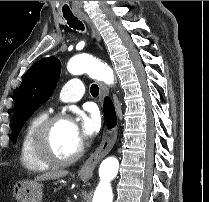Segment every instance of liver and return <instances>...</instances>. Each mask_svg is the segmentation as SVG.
Returning a JSON list of instances; mask_svg holds the SVG:
<instances>
[{"mask_svg":"<svg viewBox=\"0 0 209 202\" xmlns=\"http://www.w3.org/2000/svg\"><path fill=\"white\" fill-rule=\"evenodd\" d=\"M68 174V171L60 170V171H52L48 173H44L35 178V181H44L51 179H59L61 177H65Z\"/></svg>","mask_w":209,"mask_h":202,"instance_id":"6515ba94","label":"liver"}]
</instances>
